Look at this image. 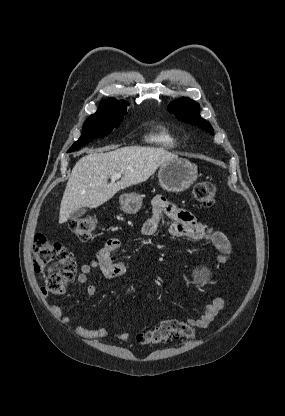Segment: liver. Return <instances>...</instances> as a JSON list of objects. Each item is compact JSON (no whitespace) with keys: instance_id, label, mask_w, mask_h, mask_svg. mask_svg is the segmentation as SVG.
Segmentation results:
<instances>
[{"instance_id":"1","label":"liver","mask_w":285,"mask_h":416,"mask_svg":"<svg viewBox=\"0 0 285 416\" xmlns=\"http://www.w3.org/2000/svg\"><path fill=\"white\" fill-rule=\"evenodd\" d=\"M113 148L117 146H106L104 150ZM104 150H82L88 156H83L71 172L60 204L59 224L67 222L79 208H98L119 190L146 182L159 166L178 158L163 148L128 146L105 154ZM112 174H123V178L109 184Z\"/></svg>"}]
</instances>
